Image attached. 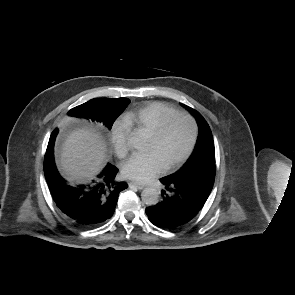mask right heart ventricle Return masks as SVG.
Returning a JSON list of instances; mask_svg holds the SVG:
<instances>
[{"instance_id":"e07e8e85","label":"right heart ventricle","mask_w":295,"mask_h":295,"mask_svg":"<svg viewBox=\"0 0 295 295\" xmlns=\"http://www.w3.org/2000/svg\"><path fill=\"white\" fill-rule=\"evenodd\" d=\"M178 110L162 102L147 103L125 114L123 122L128 128H135L151 133L166 116Z\"/></svg>"}]
</instances>
